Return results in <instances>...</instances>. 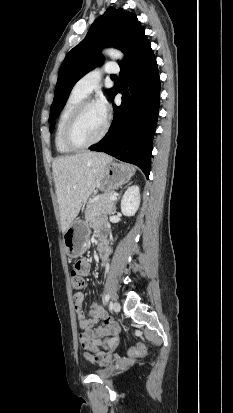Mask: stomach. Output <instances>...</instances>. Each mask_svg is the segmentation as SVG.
<instances>
[{"label": "stomach", "instance_id": "stomach-1", "mask_svg": "<svg viewBox=\"0 0 233 413\" xmlns=\"http://www.w3.org/2000/svg\"><path fill=\"white\" fill-rule=\"evenodd\" d=\"M134 168L128 164L109 162L104 169L98 188L105 192L114 190L127 183L134 175ZM90 229L86 222L74 220L63 233L66 254L71 258L79 257L85 250L86 240Z\"/></svg>", "mask_w": 233, "mask_h": 413}]
</instances>
